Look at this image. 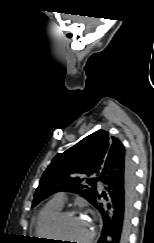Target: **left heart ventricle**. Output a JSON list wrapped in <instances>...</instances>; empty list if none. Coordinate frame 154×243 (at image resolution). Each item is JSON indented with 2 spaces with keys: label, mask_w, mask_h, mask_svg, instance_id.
Wrapping results in <instances>:
<instances>
[{
  "label": "left heart ventricle",
  "mask_w": 154,
  "mask_h": 243,
  "mask_svg": "<svg viewBox=\"0 0 154 243\" xmlns=\"http://www.w3.org/2000/svg\"><path fill=\"white\" fill-rule=\"evenodd\" d=\"M90 222L88 218L77 214L66 217L60 224L58 229V236L65 241L63 243H70L74 240L77 243H83L90 232Z\"/></svg>",
  "instance_id": "1"
}]
</instances>
